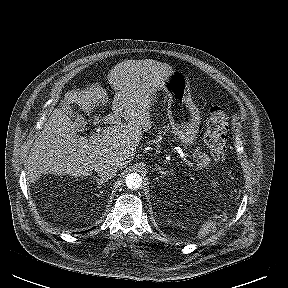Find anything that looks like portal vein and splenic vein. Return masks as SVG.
<instances>
[{"label":"portal vein and splenic vein","instance_id":"18ae733b","mask_svg":"<svg viewBox=\"0 0 288 288\" xmlns=\"http://www.w3.org/2000/svg\"><path fill=\"white\" fill-rule=\"evenodd\" d=\"M100 137H101V134L95 133V134H93V135L89 138V140H90V141H97L98 139H100ZM184 161H185V164H186L189 168H191V169H194V168H195L194 164H193L191 161H189V160H187V159H184Z\"/></svg>","mask_w":288,"mask_h":288}]
</instances>
